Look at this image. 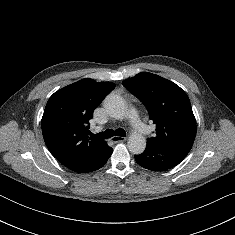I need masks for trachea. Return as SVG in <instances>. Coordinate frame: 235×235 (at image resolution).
Wrapping results in <instances>:
<instances>
[{
  "mask_svg": "<svg viewBox=\"0 0 235 235\" xmlns=\"http://www.w3.org/2000/svg\"><path fill=\"white\" fill-rule=\"evenodd\" d=\"M114 135L120 136V137H125V136H126V133H125V131H124L123 129H121V128H118V129H116L115 131L112 130V129H107L106 131L101 132V133H98V134H91V137H92V138H95V139L104 140V139L111 138V137H113Z\"/></svg>",
  "mask_w": 235,
  "mask_h": 235,
  "instance_id": "obj_1",
  "label": "trachea"
}]
</instances>
